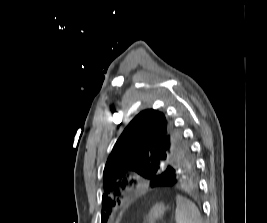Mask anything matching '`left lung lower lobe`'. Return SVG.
<instances>
[{
	"label": "left lung lower lobe",
	"instance_id": "left-lung-lower-lobe-1",
	"mask_svg": "<svg viewBox=\"0 0 267 223\" xmlns=\"http://www.w3.org/2000/svg\"><path fill=\"white\" fill-rule=\"evenodd\" d=\"M198 171H164V173H153L156 178L150 183L151 192L162 194H180V190L195 189L194 176Z\"/></svg>",
	"mask_w": 267,
	"mask_h": 223
}]
</instances>
